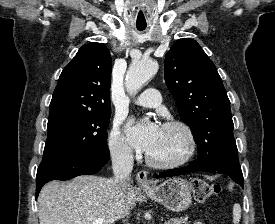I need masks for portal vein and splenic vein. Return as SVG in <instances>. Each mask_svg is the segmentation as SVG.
<instances>
[{"label": "portal vein and splenic vein", "instance_id": "obj_1", "mask_svg": "<svg viewBox=\"0 0 275 224\" xmlns=\"http://www.w3.org/2000/svg\"><path fill=\"white\" fill-rule=\"evenodd\" d=\"M102 223H103V219H98L93 224H102Z\"/></svg>", "mask_w": 275, "mask_h": 224}]
</instances>
